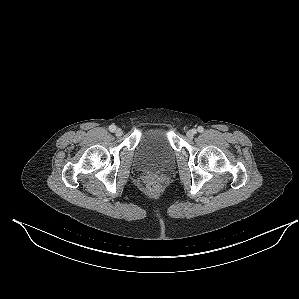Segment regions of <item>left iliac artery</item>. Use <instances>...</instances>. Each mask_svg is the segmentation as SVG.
Listing matches in <instances>:
<instances>
[{
    "label": "left iliac artery",
    "mask_w": 299,
    "mask_h": 299,
    "mask_svg": "<svg viewBox=\"0 0 299 299\" xmlns=\"http://www.w3.org/2000/svg\"><path fill=\"white\" fill-rule=\"evenodd\" d=\"M197 130H198V132L202 133L204 128L202 126H199Z\"/></svg>",
    "instance_id": "left-iliac-artery-1"
}]
</instances>
